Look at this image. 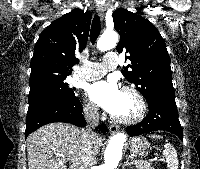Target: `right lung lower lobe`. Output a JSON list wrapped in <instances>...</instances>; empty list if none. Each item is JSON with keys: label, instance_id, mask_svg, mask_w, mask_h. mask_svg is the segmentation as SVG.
Returning a JSON list of instances; mask_svg holds the SVG:
<instances>
[{"label": "right lung lower lobe", "instance_id": "98d812e1", "mask_svg": "<svg viewBox=\"0 0 200 169\" xmlns=\"http://www.w3.org/2000/svg\"><path fill=\"white\" fill-rule=\"evenodd\" d=\"M52 122H68L76 126H86L82 105L76 97L70 103L41 102L29 105L26 117L25 137L39 127ZM98 129L107 131L105 125H99Z\"/></svg>", "mask_w": 200, "mask_h": 169}]
</instances>
